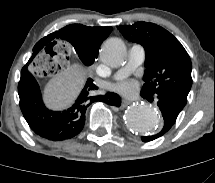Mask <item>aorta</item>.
I'll use <instances>...</instances> for the list:
<instances>
[{
    "label": "aorta",
    "instance_id": "762f6f07",
    "mask_svg": "<svg viewBox=\"0 0 215 183\" xmlns=\"http://www.w3.org/2000/svg\"><path fill=\"white\" fill-rule=\"evenodd\" d=\"M102 60L111 67L120 66L126 57V47L119 38L106 40L100 49ZM129 129L142 134L156 132L161 124L158 112L148 104H135L130 106L124 115Z\"/></svg>",
    "mask_w": 215,
    "mask_h": 183
}]
</instances>
